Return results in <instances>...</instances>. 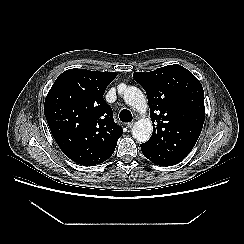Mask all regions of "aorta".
Returning <instances> with one entry per match:
<instances>
[{
	"instance_id": "aorta-1",
	"label": "aorta",
	"mask_w": 244,
	"mask_h": 244,
	"mask_svg": "<svg viewBox=\"0 0 244 244\" xmlns=\"http://www.w3.org/2000/svg\"><path fill=\"white\" fill-rule=\"evenodd\" d=\"M123 88V99L127 105L134 108L140 113H144L147 110V101L140 89L134 86L120 85L119 90ZM152 122L149 118L139 119L132 128L133 138L140 142L144 143L149 140L152 135Z\"/></svg>"
}]
</instances>
